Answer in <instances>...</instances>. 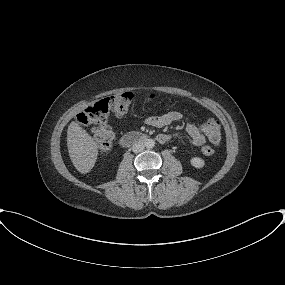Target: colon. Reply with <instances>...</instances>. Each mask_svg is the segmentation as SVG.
<instances>
[{"instance_id": "colon-1", "label": "colon", "mask_w": 285, "mask_h": 285, "mask_svg": "<svg viewBox=\"0 0 285 285\" xmlns=\"http://www.w3.org/2000/svg\"><path fill=\"white\" fill-rule=\"evenodd\" d=\"M134 100L131 92H122L119 94L106 97L91 106H88L77 116L79 123L84 126L92 127L96 132L97 145L100 153L106 154L110 151L114 142V133L107 125L110 114L117 116L124 115L128 112ZM147 101H155L157 97L153 94L146 97ZM210 142L218 145L221 141L220 123L213 118L208 119L202 125ZM215 152L212 146L206 145L202 148V153L211 156Z\"/></svg>"}]
</instances>
